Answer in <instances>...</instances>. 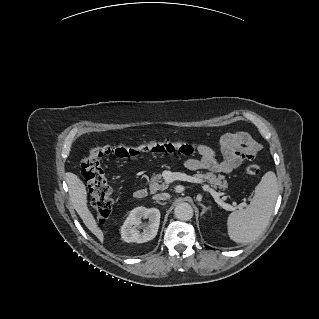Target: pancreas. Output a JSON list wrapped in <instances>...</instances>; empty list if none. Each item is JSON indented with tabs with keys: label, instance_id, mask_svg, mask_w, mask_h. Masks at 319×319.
Wrapping results in <instances>:
<instances>
[{
	"label": "pancreas",
	"instance_id": "1",
	"mask_svg": "<svg viewBox=\"0 0 319 319\" xmlns=\"http://www.w3.org/2000/svg\"><path fill=\"white\" fill-rule=\"evenodd\" d=\"M194 177L200 179L201 181H209L210 184L216 189H226L228 187V183L225 180L223 175H215L212 172H198L194 174ZM162 175L154 174L150 179V191L156 192L157 190H164L166 185L162 183ZM162 183V184H160Z\"/></svg>",
	"mask_w": 319,
	"mask_h": 319
}]
</instances>
